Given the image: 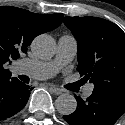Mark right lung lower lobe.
I'll return each mask as SVG.
<instances>
[{"instance_id": "right-lung-lower-lobe-1", "label": "right lung lower lobe", "mask_w": 125, "mask_h": 125, "mask_svg": "<svg viewBox=\"0 0 125 125\" xmlns=\"http://www.w3.org/2000/svg\"><path fill=\"white\" fill-rule=\"evenodd\" d=\"M32 89L11 75L0 78V120L22 110Z\"/></svg>"}]
</instances>
